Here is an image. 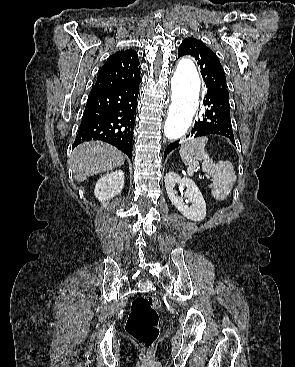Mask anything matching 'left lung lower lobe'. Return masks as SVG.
Instances as JSON below:
<instances>
[{
    "mask_svg": "<svg viewBox=\"0 0 295 367\" xmlns=\"http://www.w3.org/2000/svg\"><path fill=\"white\" fill-rule=\"evenodd\" d=\"M205 106H208L203 117L195 122L191 136L194 138L207 135H221L227 137L235 144L233 129L230 118L229 93L227 90L208 86L207 94L203 101ZM179 146V141L170 143L164 152V159L175 148Z\"/></svg>",
    "mask_w": 295,
    "mask_h": 367,
    "instance_id": "1",
    "label": "left lung lower lobe"
}]
</instances>
